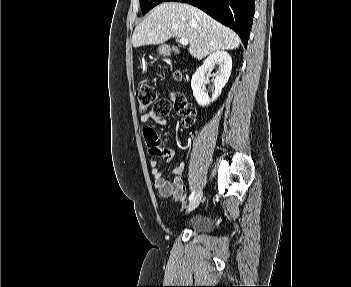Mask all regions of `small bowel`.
<instances>
[{"instance_id": "small-bowel-1", "label": "small bowel", "mask_w": 351, "mask_h": 287, "mask_svg": "<svg viewBox=\"0 0 351 287\" xmlns=\"http://www.w3.org/2000/svg\"><path fill=\"white\" fill-rule=\"evenodd\" d=\"M165 126L167 120L155 114L154 111L143 113L140 116L141 130H143L144 144L148 156H152L150 160L151 173L155 181V188L162 196L171 197L176 201H183L186 191L183 174L185 171V163L179 162L173 170H171V180L163 176L160 168L159 159L164 162H171L174 159V151L169 147L161 146L160 132H156V127L152 122Z\"/></svg>"}]
</instances>
